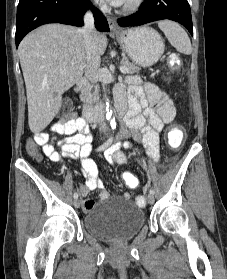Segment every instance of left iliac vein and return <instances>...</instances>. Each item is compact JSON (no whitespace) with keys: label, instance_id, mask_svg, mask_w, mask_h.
Instances as JSON below:
<instances>
[{"label":"left iliac vein","instance_id":"left-iliac-vein-1","mask_svg":"<svg viewBox=\"0 0 227 279\" xmlns=\"http://www.w3.org/2000/svg\"><path fill=\"white\" fill-rule=\"evenodd\" d=\"M154 195H152V194H149L148 196H147V201H148V203H150V204H152V203H154Z\"/></svg>","mask_w":227,"mask_h":279}]
</instances>
